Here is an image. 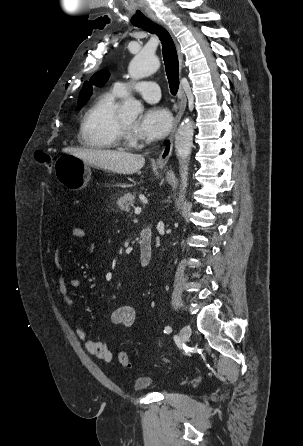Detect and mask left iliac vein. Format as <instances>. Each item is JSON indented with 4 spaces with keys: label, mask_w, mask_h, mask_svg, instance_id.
<instances>
[{
    "label": "left iliac vein",
    "mask_w": 303,
    "mask_h": 446,
    "mask_svg": "<svg viewBox=\"0 0 303 446\" xmlns=\"http://www.w3.org/2000/svg\"><path fill=\"white\" fill-rule=\"evenodd\" d=\"M191 335V328L188 325H185L181 328L179 332V340L183 343L187 342Z\"/></svg>",
    "instance_id": "left-iliac-vein-1"
}]
</instances>
